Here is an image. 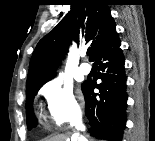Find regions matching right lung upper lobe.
Segmentation results:
<instances>
[{
    "label": "right lung upper lobe",
    "mask_w": 155,
    "mask_h": 141,
    "mask_svg": "<svg viewBox=\"0 0 155 141\" xmlns=\"http://www.w3.org/2000/svg\"><path fill=\"white\" fill-rule=\"evenodd\" d=\"M114 32L116 25L106 0H75L69 14L38 42L29 64L26 88L53 77L54 68L68 52L71 40L90 44L93 59Z\"/></svg>",
    "instance_id": "obj_1"
}]
</instances>
